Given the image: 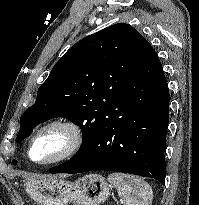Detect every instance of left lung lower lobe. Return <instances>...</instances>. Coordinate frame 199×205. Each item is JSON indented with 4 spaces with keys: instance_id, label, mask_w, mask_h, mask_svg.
Instances as JSON below:
<instances>
[{
    "instance_id": "obj_1",
    "label": "left lung lower lobe",
    "mask_w": 199,
    "mask_h": 205,
    "mask_svg": "<svg viewBox=\"0 0 199 205\" xmlns=\"http://www.w3.org/2000/svg\"><path fill=\"white\" fill-rule=\"evenodd\" d=\"M169 101L162 65L145 39L121 93L106 112L101 131L85 154L59 173L107 170L164 183Z\"/></svg>"
}]
</instances>
